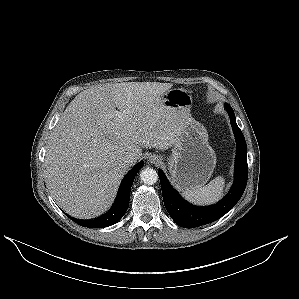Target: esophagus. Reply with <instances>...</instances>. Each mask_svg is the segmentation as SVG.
<instances>
[{
  "mask_svg": "<svg viewBox=\"0 0 299 299\" xmlns=\"http://www.w3.org/2000/svg\"><path fill=\"white\" fill-rule=\"evenodd\" d=\"M149 161L151 163L158 164L159 162H161V159L159 156L153 155V156L149 157Z\"/></svg>",
  "mask_w": 299,
  "mask_h": 299,
  "instance_id": "esophagus-1",
  "label": "esophagus"
}]
</instances>
